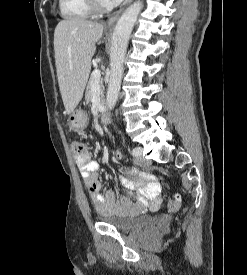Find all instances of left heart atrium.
Listing matches in <instances>:
<instances>
[{
  "label": "left heart atrium",
  "mask_w": 247,
  "mask_h": 275,
  "mask_svg": "<svg viewBox=\"0 0 247 275\" xmlns=\"http://www.w3.org/2000/svg\"><path fill=\"white\" fill-rule=\"evenodd\" d=\"M122 0H109L111 5H116L118 3H120Z\"/></svg>",
  "instance_id": "39dd6f15"
}]
</instances>
